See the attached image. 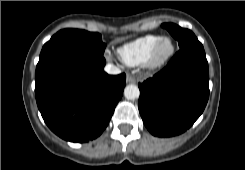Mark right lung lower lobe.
Returning <instances> with one entry per match:
<instances>
[{"label": "right lung lower lobe", "instance_id": "98d812e1", "mask_svg": "<svg viewBox=\"0 0 245 170\" xmlns=\"http://www.w3.org/2000/svg\"><path fill=\"white\" fill-rule=\"evenodd\" d=\"M102 55L65 52L36 70L35 96L47 126L59 137L84 143L107 127L126 75H108Z\"/></svg>", "mask_w": 245, "mask_h": 170}]
</instances>
